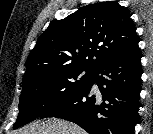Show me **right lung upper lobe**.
Returning <instances> with one entry per match:
<instances>
[{"instance_id":"cb5924a9","label":"right lung upper lobe","mask_w":153,"mask_h":134,"mask_svg":"<svg viewBox=\"0 0 153 134\" xmlns=\"http://www.w3.org/2000/svg\"><path fill=\"white\" fill-rule=\"evenodd\" d=\"M137 44L130 14L118 2L83 6L64 19L53 20L40 35L28 56L24 79L60 67L94 70Z\"/></svg>"}]
</instances>
